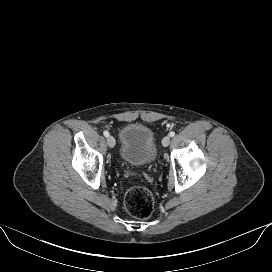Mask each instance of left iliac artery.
<instances>
[{"instance_id":"1","label":"left iliac artery","mask_w":272,"mask_h":272,"mask_svg":"<svg viewBox=\"0 0 272 272\" xmlns=\"http://www.w3.org/2000/svg\"><path fill=\"white\" fill-rule=\"evenodd\" d=\"M169 136H170V137L175 136V132H174V131H171V132L169 133Z\"/></svg>"}]
</instances>
